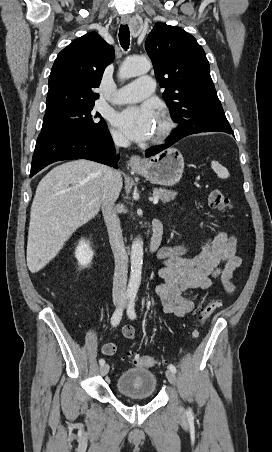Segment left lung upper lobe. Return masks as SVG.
<instances>
[{
	"label": "left lung upper lobe",
	"instance_id": "left-lung-upper-lobe-1",
	"mask_svg": "<svg viewBox=\"0 0 272 452\" xmlns=\"http://www.w3.org/2000/svg\"><path fill=\"white\" fill-rule=\"evenodd\" d=\"M146 51L155 75L165 88L163 99L178 128H231L210 76L203 48L179 27L156 23L147 37Z\"/></svg>",
	"mask_w": 272,
	"mask_h": 452
}]
</instances>
